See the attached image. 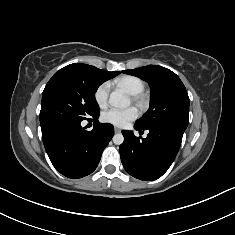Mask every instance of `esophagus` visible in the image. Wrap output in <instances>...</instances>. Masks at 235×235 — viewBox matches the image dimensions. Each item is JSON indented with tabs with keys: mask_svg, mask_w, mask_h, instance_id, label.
<instances>
[{
	"mask_svg": "<svg viewBox=\"0 0 235 235\" xmlns=\"http://www.w3.org/2000/svg\"><path fill=\"white\" fill-rule=\"evenodd\" d=\"M114 131H115V133H120V132H121V129L118 128V127H114Z\"/></svg>",
	"mask_w": 235,
	"mask_h": 235,
	"instance_id": "1",
	"label": "esophagus"
}]
</instances>
